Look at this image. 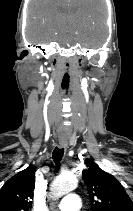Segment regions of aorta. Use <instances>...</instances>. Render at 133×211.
<instances>
[{
    "instance_id": "obj_1",
    "label": "aorta",
    "mask_w": 133,
    "mask_h": 211,
    "mask_svg": "<svg viewBox=\"0 0 133 211\" xmlns=\"http://www.w3.org/2000/svg\"><path fill=\"white\" fill-rule=\"evenodd\" d=\"M78 186V180L71 175L59 176L51 184V195L54 199L75 190Z\"/></svg>"
}]
</instances>
